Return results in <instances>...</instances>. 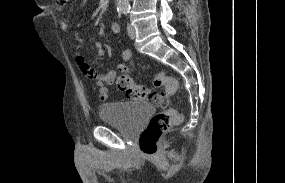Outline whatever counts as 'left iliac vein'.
Returning <instances> with one entry per match:
<instances>
[{
    "label": "left iliac vein",
    "instance_id": "4c4485c4",
    "mask_svg": "<svg viewBox=\"0 0 285 183\" xmlns=\"http://www.w3.org/2000/svg\"><path fill=\"white\" fill-rule=\"evenodd\" d=\"M127 32H128V36H129L131 39H134V38L136 37L135 28H134L131 24H128V25H127Z\"/></svg>",
    "mask_w": 285,
    "mask_h": 183
}]
</instances>
